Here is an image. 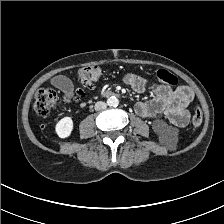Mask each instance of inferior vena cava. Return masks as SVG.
Here are the masks:
<instances>
[{"label": "inferior vena cava", "mask_w": 224, "mask_h": 224, "mask_svg": "<svg viewBox=\"0 0 224 224\" xmlns=\"http://www.w3.org/2000/svg\"><path fill=\"white\" fill-rule=\"evenodd\" d=\"M106 107H107V104H106L105 102H103V101H98V102H96V104H95V110H96V111L103 110V109H105Z\"/></svg>", "instance_id": "inferior-vena-cava-1"}]
</instances>
